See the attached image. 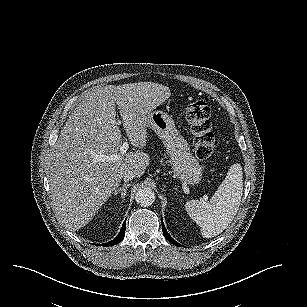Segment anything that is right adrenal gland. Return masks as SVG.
<instances>
[{
	"instance_id": "2a0ac1e0",
	"label": "right adrenal gland",
	"mask_w": 307,
	"mask_h": 307,
	"mask_svg": "<svg viewBox=\"0 0 307 307\" xmlns=\"http://www.w3.org/2000/svg\"><path fill=\"white\" fill-rule=\"evenodd\" d=\"M131 184H124L121 188H119L117 191L114 192V195L117 196V194H121V198L124 199L125 198V195H126V189L128 187H130Z\"/></svg>"
}]
</instances>
